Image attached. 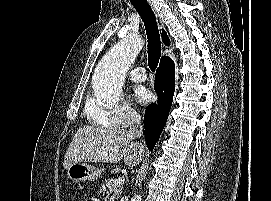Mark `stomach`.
<instances>
[{"label": "stomach", "mask_w": 271, "mask_h": 201, "mask_svg": "<svg viewBox=\"0 0 271 201\" xmlns=\"http://www.w3.org/2000/svg\"><path fill=\"white\" fill-rule=\"evenodd\" d=\"M102 171L92 165L78 162L67 168V175L73 182L96 181L101 176Z\"/></svg>", "instance_id": "stomach-1"}]
</instances>
